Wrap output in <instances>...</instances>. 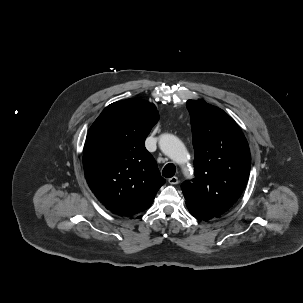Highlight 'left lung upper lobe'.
Masks as SVG:
<instances>
[{"mask_svg": "<svg viewBox=\"0 0 303 303\" xmlns=\"http://www.w3.org/2000/svg\"><path fill=\"white\" fill-rule=\"evenodd\" d=\"M195 178L181 188L189 210L218 218L239 199L248 181L250 150L236 122L203 100H188Z\"/></svg>", "mask_w": 303, "mask_h": 303, "instance_id": "left-lung-upper-lobe-1", "label": "left lung upper lobe"}]
</instances>
